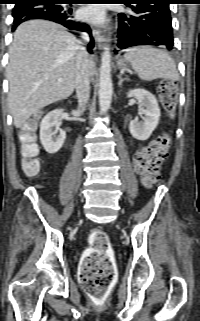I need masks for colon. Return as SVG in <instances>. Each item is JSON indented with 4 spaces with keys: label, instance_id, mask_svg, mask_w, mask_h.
<instances>
[{
    "label": "colon",
    "instance_id": "5ec220e1",
    "mask_svg": "<svg viewBox=\"0 0 200 321\" xmlns=\"http://www.w3.org/2000/svg\"><path fill=\"white\" fill-rule=\"evenodd\" d=\"M178 83L164 81L159 85L158 94L164 109L173 115L177 105ZM35 124L28 123L20 133L23 154L22 168L26 175L34 176L39 171L36 156L39 147L34 134ZM170 139L161 135L149 145L141 148L134 156V167L146 186L153 185L162 162L168 157ZM89 247L83 256L79 269V280L84 290L95 301H102L114 277L112 250L108 235L99 229L88 235Z\"/></svg>",
    "mask_w": 200,
    "mask_h": 321
}]
</instances>
